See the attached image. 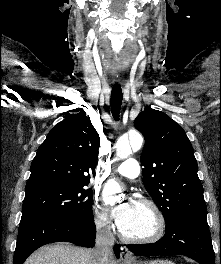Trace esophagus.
<instances>
[{
    "instance_id": "obj_1",
    "label": "esophagus",
    "mask_w": 221,
    "mask_h": 264,
    "mask_svg": "<svg viewBox=\"0 0 221 264\" xmlns=\"http://www.w3.org/2000/svg\"><path fill=\"white\" fill-rule=\"evenodd\" d=\"M120 260L124 264H128L134 261V258L126 246H121Z\"/></svg>"
}]
</instances>
